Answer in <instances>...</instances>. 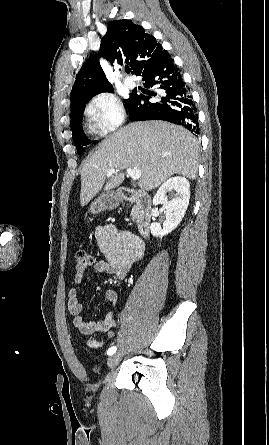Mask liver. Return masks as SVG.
Segmentation results:
<instances>
[{
	"mask_svg": "<svg viewBox=\"0 0 269 445\" xmlns=\"http://www.w3.org/2000/svg\"><path fill=\"white\" fill-rule=\"evenodd\" d=\"M199 143L185 128L162 121L131 123L104 139L83 164L80 204L85 206L104 187L109 191L125 179L124 169L141 171L138 185L150 191L174 174L195 179ZM118 171L107 176L110 169Z\"/></svg>",
	"mask_w": 269,
	"mask_h": 445,
	"instance_id": "6515ba94",
	"label": "liver"
}]
</instances>
